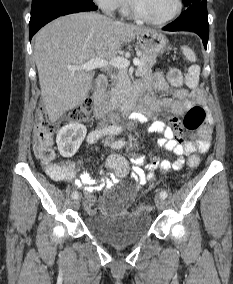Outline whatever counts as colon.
I'll list each match as a JSON object with an SVG mask.
<instances>
[{
    "instance_id": "5ec220e1",
    "label": "colon",
    "mask_w": 233,
    "mask_h": 284,
    "mask_svg": "<svg viewBox=\"0 0 233 284\" xmlns=\"http://www.w3.org/2000/svg\"><path fill=\"white\" fill-rule=\"evenodd\" d=\"M166 76L168 81L173 86H180L183 83L182 72L177 68L166 69ZM94 108V102L91 99L85 100L80 106L74 108L69 118L73 122L88 121L91 112ZM206 120L205 109L200 105L191 107L185 114L183 119V126L189 131L199 129ZM58 125L53 120L49 119L44 107H40L36 115V124L34 128V153L37 159L43 164H49L55 157L53 150V137L57 131ZM199 164V157L191 155L188 158V166L191 168ZM107 167L112 171L117 179L126 177L129 173L128 162L119 155H111L107 159ZM141 209L150 211L152 206L149 202L144 201L141 204Z\"/></svg>"
}]
</instances>
